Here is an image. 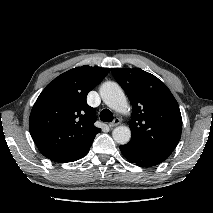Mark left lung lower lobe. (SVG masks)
Masks as SVG:
<instances>
[{
    "mask_svg": "<svg viewBox=\"0 0 213 213\" xmlns=\"http://www.w3.org/2000/svg\"><path fill=\"white\" fill-rule=\"evenodd\" d=\"M120 150L130 162L143 167L155 166L168 157L163 154L147 151L130 142L120 145Z\"/></svg>",
    "mask_w": 213,
    "mask_h": 213,
    "instance_id": "1",
    "label": "left lung lower lobe"
}]
</instances>
